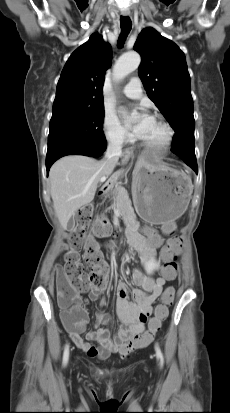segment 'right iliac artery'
Listing matches in <instances>:
<instances>
[{"mask_svg":"<svg viewBox=\"0 0 230 413\" xmlns=\"http://www.w3.org/2000/svg\"><path fill=\"white\" fill-rule=\"evenodd\" d=\"M68 357H69V346H65L64 354H63V364L66 365L68 362Z\"/></svg>","mask_w":230,"mask_h":413,"instance_id":"right-iliac-artery-1","label":"right iliac artery"}]
</instances>
